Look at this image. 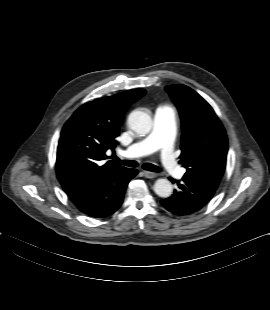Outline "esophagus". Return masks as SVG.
Segmentation results:
<instances>
[{"mask_svg": "<svg viewBox=\"0 0 270 310\" xmlns=\"http://www.w3.org/2000/svg\"><path fill=\"white\" fill-rule=\"evenodd\" d=\"M143 174L146 178H155L157 177V173L150 172V171H143Z\"/></svg>", "mask_w": 270, "mask_h": 310, "instance_id": "esophagus-1", "label": "esophagus"}]
</instances>
